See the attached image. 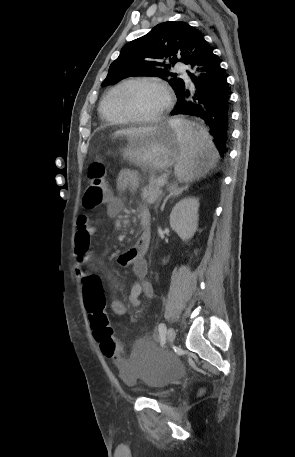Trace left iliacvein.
<instances>
[{
  "mask_svg": "<svg viewBox=\"0 0 295 457\" xmlns=\"http://www.w3.org/2000/svg\"><path fill=\"white\" fill-rule=\"evenodd\" d=\"M175 340V331L172 327H170L167 331V341L169 343H173Z\"/></svg>",
  "mask_w": 295,
  "mask_h": 457,
  "instance_id": "1",
  "label": "left iliac vein"
}]
</instances>
